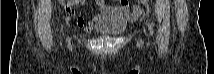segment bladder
<instances>
[{"mask_svg": "<svg viewBox=\"0 0 214 74\" xmlns=\"http://www.w3.org/2000/svg\"><path fill=\"white\" fill-rule=\"evenodd\" d=\"M127 23L122 16L109 13L103 15L96 24V32L102 35L116 36L124 32Z\"/></svg>", "mask_w": 214, "mask_h": 74, "instance_id": "1", "label": "bladder"}]
</instances>
